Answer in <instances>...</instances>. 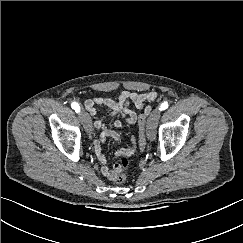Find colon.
Masks as SVG:
<instances>
[{"label": "colon", "mask_w": 243, "mask_h": 243, "mask_svg": "<svg viewBox=\"0 0 243 243\" xmlns=\"http://www.w3.org/2000/svg\"><path fill=\"white\" fill-rule=\"evenodd\" d=\"M146 114L142 113L138 117V127H139V145L138 149L142 150L145 147L146 144V138H145V128H146V120H147ZM130 163L127 158H122L120 163L115 165L116 169V176L114 178V181L116 183H124L126 181V171L129 169Z\"/></svg>", "instance_id": "5ec220e1"}]
</instances>
